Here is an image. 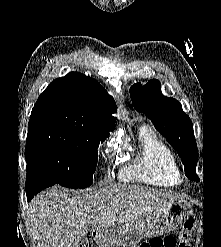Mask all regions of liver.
Listing matches in <instances>:
<instances>
[{"label": "liver", "mask_w": 221, "mask_h": 247, "mask_svg": "<svg viewBox=\"0 0 221 247\" xmlns=\"http://www.w3.org/2000/svg\"><path fill=\"white\" fill-rule=\"evenodd\" d=\"M178 196L152 188L112 185L82 195L60 186L36 196L28 206L44 247H79L88 231L103 232L151 215Z\"/></svg>", "instance_id": "6515ba94"}]
</instances>
